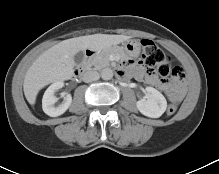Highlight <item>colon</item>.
I'll return each instance as SVG.
<instances>
[{"instance_id":"obj_1","label":"colon","mask_w":219,"mask_h":174,"mask_svg":"<svg viewBox=\"0 0 219 174\" xmlns=\"http://www.w3.org/2000/svg\"><path fill=\"white\" fill-rule=\"evenodd\" d=\"M142 57L144 63L154 68L159 76L167 78L169 76L181 82L185 81V75L180 68H172L168 57L162 49H160L154 42L148 39L141 40ZM177 107L170 104L167 107V115L172 116L176 113Z\"/></svg>"}]
</instances>
